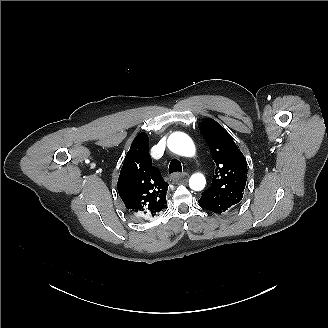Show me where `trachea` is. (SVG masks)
<instances>
[{"instance_id":"trachea-1","label":"trachea","mask_w":328,"mask_h":328,"mask_svg":"<svg viewBox=\"0 0 328 328\" xmlns=\"http://www.w3.org/2000/svg\"><path fill=\"white\" fill-rule=\"evenodd\" d=\"M168 171L170 174L173 172H181L182 171L181 163L177 159H173L169 164Z\"/></svg>"}]
</instances>
